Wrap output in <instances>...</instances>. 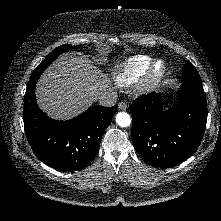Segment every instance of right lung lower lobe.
<instances>
[{"label":"right lung lower lobe","mask_w":221,"mask_h":221,"mask_svg":"<svg viewBox=\"0 0 221 221\" xmlns=\"http://www.w3.org/2000/svg\"><path fill=\"white\" fill-rule=\"evenodd\" d=\"M35 87L36 82L27 86L23 111L25 133L34 154L57 170L85 168L97 155L101 138L117 106L90 107L71 120L58 121L39 109Z\"/></svg>","instance_id":"right-lung-lower-lobe-1"}]
</instances>
